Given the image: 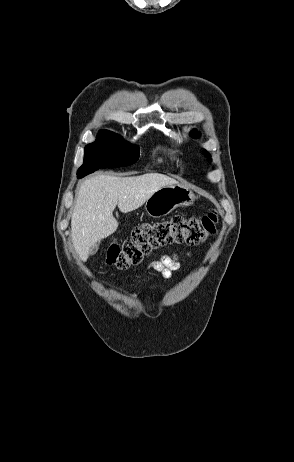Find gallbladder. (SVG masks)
<instances>
[{
  "label": "gallbladder",
  "instance_id": "1",
  "mask_svg": "<svg viewBox=\"0 0 294 462\" xmlns=\"http://www.w3.org/2000/svg\"><path fill=\"white\" fill-rule=\"evenodd\" d=\"M98 248H99L98 244L93 245V246L91 247V249H90L89 254H90V255L96 254V252L98 251Z\"/></svg>",
  "mask_w": 294,
  "mask_h": 462
}]
</instances>
